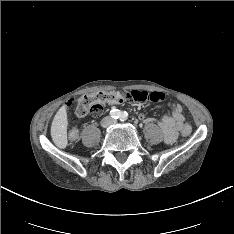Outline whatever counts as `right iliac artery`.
<instances>
[{
  "mask_svg": "<svg viewBox=\"0 0 234 234\" xmlns=\"http://www.w3.org/2000/svg\"><path fill=\"white\" fill-rule=\"evenodd\" d=\"M110 115L112 118L118 119L120 117L121 113L119 112V110L113 109L110 111Z\"/></svg>",
  "mask_w": 234,
  "mask_h": 234,
  "instance_id": "82829eb1",
  "label": "right iliac artery"
}]
</instances>
